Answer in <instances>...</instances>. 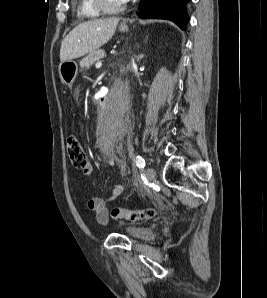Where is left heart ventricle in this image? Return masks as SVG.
<instances>
[{
    "label": "left heart ventricle",
    "mask_w": 267,
    "mask_h": 298,
    "mask_svg": "<svg viewBox=\"0 0 267 298\" xmlns=\"http://www.w3.org/2000/svg\"><path fill=\"white\" fill-rule=\"evenodd\" d=\"M107 2L113 7L123 4L121 0H107Z\"/></svg>",
    "instance_id": "obj_1"
}]
</instances>
